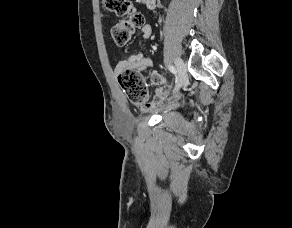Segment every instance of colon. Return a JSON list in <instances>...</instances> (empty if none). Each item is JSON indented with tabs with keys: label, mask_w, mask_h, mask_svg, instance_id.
Instances as JSON below:
<instances>
[{
	"label": "colon",
	"mask_w": 292,
	"mask_h": 228,
	"mask_svg": "<svg viewBox=\"0 0 292 228\" xmlns=\"http://www.w3.org/2000/svg\"><path fill=\"white\" fill-rule=\"evenodd\" d=\"M106 9L124 19L111 28V37L116 45L127 44L136 28L144 25L143 16L136 12L130 0H103ZM118 82L131 103L142 106L147 101V90L141 73L127 69L118 75Z\"/></svg>",
	"instance_id": "colon-1"
}]
</instances>
